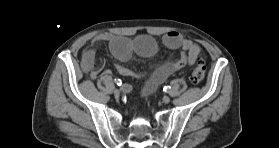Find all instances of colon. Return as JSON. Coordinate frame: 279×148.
Wrapping results in <instances>:
<instances>
[{
	"label": "colon",
	"mask_w": 279,
	"mask_h": 148,
	"mask_svg": "<svg viewBox=\"0 0 279 148\" xmlns=\"http://www.w3.org/2000/svg\"><path fill=\"white\" fill-rule=\"evenodd\" d=\"M206 72V64L202 58L198 59L192 70L190 79L193 84H199L203 81Z\"/></svg>",
	"instance_id": "colon-1"
}]
</instances>
